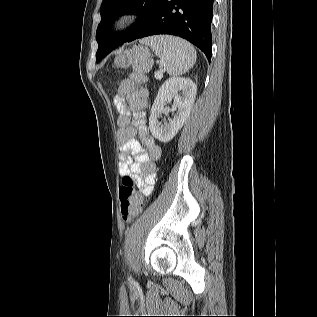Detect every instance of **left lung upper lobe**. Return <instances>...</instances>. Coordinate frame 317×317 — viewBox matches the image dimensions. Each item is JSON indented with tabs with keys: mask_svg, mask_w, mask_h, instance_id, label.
Here are the masks:
<instances>
[{
	"mask_svg": "<svg viewBox=\"0 0 317 317\" xmlns=\"http://www.w3.org/2000/svg\"><path fill=\"white\" fill-rule=\"evenodd\" d=\"M162 0H103L100 8L101 22L98 25L96 39L98 51L96 61H99L103 45L116 43L121 45L126 41H133L147 26L156 13ZM125 13H136L140 16L132 27L115 36L111 32V23L114 18Z\"/></svg>",
	"mask_w": 317,
	"mask_h": 317,
	"instance_id": "1",
	"label": "left lung upper lobe"
}]
</instances>
